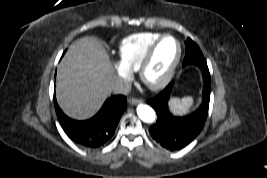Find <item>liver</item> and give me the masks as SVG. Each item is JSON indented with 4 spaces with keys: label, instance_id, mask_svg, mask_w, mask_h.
<instances>
[{
    "label": "liver",
    "instance_id": "1",
    "mask_svg": "<svg viewBox=\"0 0 267 178\" xmlns=\"http://www.w3.org/2000/svg\"><path fill=\"white\" fill-rule=\"evenodd\" d=\"M115 79L103 45L94 37H82L70 45L58 66V104L72 118H89L110 95L107 88Z\"/></svg>",
    "mask_w": 267,
    "mask_h": 178
}]
</instances>
